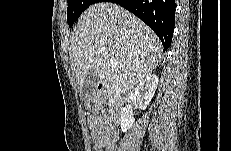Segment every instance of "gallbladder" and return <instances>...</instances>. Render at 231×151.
I'll use <instances>...</instances> for the list:
<instances>
[{
	"mask_svg": "<svg viewBox=\"0 0 231 151\" xmlns=\"http://www.w3.org/2000/svg\"><path fill=\"white\" fill-rule=\"evenodd\" d=\"M98 78L94 73H90L86 76L83 88L81 90V97L84 101L90 102L95 97V87Z\"/></svg>",
	"mask_w": 231,
	"mask_h": 151,
	"instance_id": "1",
	"label": "gallbladder"
}]
</instances>
